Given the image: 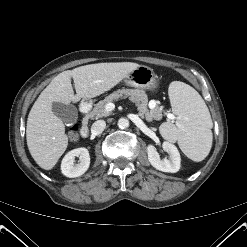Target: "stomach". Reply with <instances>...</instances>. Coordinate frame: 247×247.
Returning <instances> with one entry per match:
<instances>
[{
    "label": "stomach",
    "instance_id": "stomach-1",
    "mask_svg": "<svg viewBox=\"0 0 247 247\" xmlns=\"http://www.w3.org/2000/svg\"><path fill=\"white\" fill-rule=\"evenodd\" d=\"M124 82L139 90L156 89L159 85L158 77L147 66H139L124 79Z\"/></svg>",
    "mask_w": 247,
    "mask_h": 247
}]
</instances>
